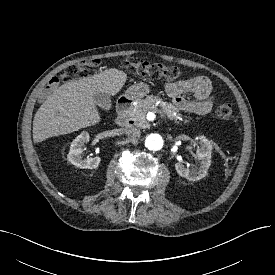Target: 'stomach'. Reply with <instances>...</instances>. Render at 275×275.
I'll return each instance as SVG.
<instances>
[{
	"label": "stomach",
	"instance_id": "0dacf381",
	"mask_svg": "<svg viewBox=\"0 0 275 275\" xmlns=\"http://www.w3.org/2000/svg\"><path fill=\"white\" fill-rule=\"evenodd\" d=\"M149 91V86L141 82L129 87L125 92V97L129 100L135 101L146 96Z\"/></svg>",
	"mask_w": 275,
	"mask_h": 275
}]
</instances>
